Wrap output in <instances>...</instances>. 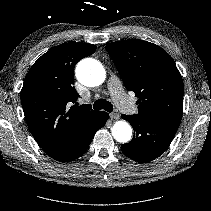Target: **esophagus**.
<instances>
[{
	"label": "esophagus",
	"instance_id": "esophagus-1",
	"mask_svg": "<svg viewBox=\"0 0 211 211\" xmlns=\"http://www.w3.org/2000/svg\"><path fill=\"white\" fill-rule=\"evenodd\" d=\"M110 118L114 119V120H118L120 118V116L117 113H110Z\"/></svg>",
	"mask_w": 211,
	"mask_h": 211
}]
</instances>
